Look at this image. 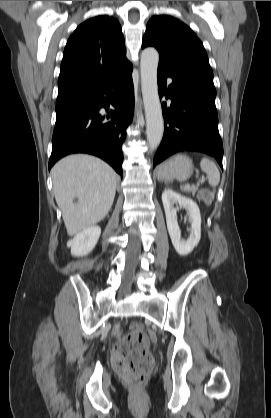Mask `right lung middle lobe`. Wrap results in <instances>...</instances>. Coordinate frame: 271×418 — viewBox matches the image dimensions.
Listing matches in <instances>:
<instances>
[{
	"label": "right lung middle lobe",
	"instance_id": "dd1d6c3e",
	"mask_svg": "<svg viewBox=\"0 0 271 418\" xmlns=\"http://www.w3.org/2000/svg\"><path fill=\"white\" fill-rule=\"evenodd\" d=\"M63 105H65V104H61V105L56 104V109L63 106Z\"/></svg>",
	"mask_w": 271,
	"mask_h": 418
}]
</instances>
